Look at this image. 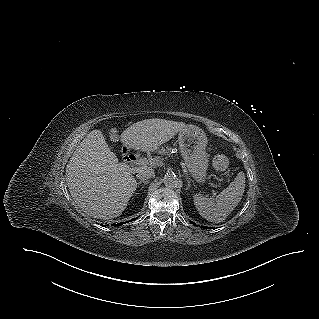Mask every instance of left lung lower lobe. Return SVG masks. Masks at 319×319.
<instances>
[{
  "mask_svg": "<svg viewBox=\"0 0 319 319\" xmlns=\"http://www.w3.org/2000/svg\"><path fill=\"white\" fill-rule=\"evenodd\" d=\"M194 225H196V224H194ZM202 228H203V227H202ZM207 228L209 229V227H205V229H207Z\"/></svg>",
  "mask_w": 319,
  "mask_h": 319,
  "instance_id": "0a47b994",
  "label": "left lung lower lobe"
}]
</instances>
